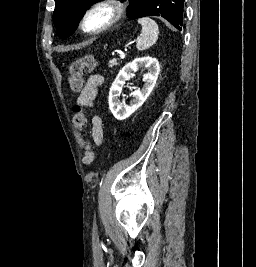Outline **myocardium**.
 I'll return each mask as SVG.
<instances>
[{
  "label": "myocardium",
  "mask_w": 256,
  "mask_h": 267,
  "mask_svg": "<svg viewBox=\"0 0 256 267\" xmlns=\"http://www.w3.org/2000/svg\"><path fill=\"white\" fill-rule=\"evenodd\" d=\"M100 9H107L110 11L111 16L108 20V22L102 26L101 28L97 29V30H89L86 27V23L88 18L96 11L100 10ZM123 16V8L122 6L116 2V1H102L99 2L95 5H93L92 7H90L89 9H87L83 15L81 16L80 22H79V27L81 29V31L86 34V35H90V36H94V35H99L105 31H107L108 29H110L114 24H116L120 18Z\"/></svg>",
  "instance_id": "1"
}]
</instances>
